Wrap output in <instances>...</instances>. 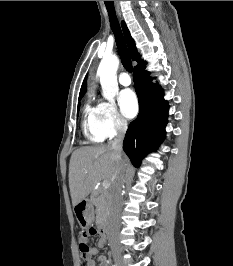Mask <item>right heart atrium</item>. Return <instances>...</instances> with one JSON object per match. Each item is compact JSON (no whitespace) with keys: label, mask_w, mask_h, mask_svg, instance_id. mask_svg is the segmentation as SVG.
Wrapping results in <instances>:
<instances>
[{"label":"right heart atrium","mask_w":233,"mask_h":266,"mask_svg":"<svg viewBox=\"0 0 233 266\" xmlns=\"http://www.w3.org/2000/svg\"><path fill=\"white\" fill-rule=\"evenodd\" d=\"M100 106V119L98 129L104 138H114L123 134L128 127L127 121L118 112L112 102H102Z\"/></svg>","instance_id":"d8ad5b80"}]
</instances>
